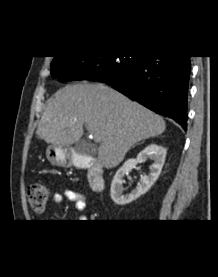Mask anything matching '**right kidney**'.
I'll return each instance as SVG.
<instances>
[{"label": "right kidney", "instance_id": "obj_1", "mask_svg": "<svg viewBox=\"0 0 218 277\" xmlns=\"http://www.w3.org/2000/svg\"><path fill=\"white\" fill-rule=\"evenodd\" d=\"M165 157V148L157 144H151L142 150L136 159H128L114 175L110 189L112 200L118 205H126L145 194L158 179L165 162ZM147 158L154 162L150 166L149 175L141 176L140 183L137 187L130 194L122 195L124 190L122 184L125 181V174L134 168L137 163L145 162Z\"/></svg>", "mask_w": 218, "mask_h": 277}]
</instances>
